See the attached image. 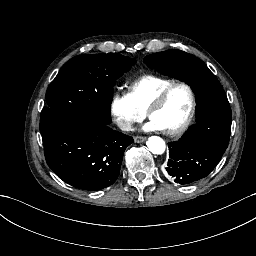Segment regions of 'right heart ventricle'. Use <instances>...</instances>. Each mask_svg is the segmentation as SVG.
<instances>
[{
    "instance_id": "1",
    "label": "right heart ventricle",
    "mask_w": 256,
    "mask_h": 256,
    "mask_svg": "<svg viewBox=\"0 0 256 256\" xmlns=\"http://www.w3.org/2000/svg\"><path fill=\"white\" fill-rule=\"evenodd\" d=\"M168 85H170L169 80L155 81L151 85L134 89L132 98L138 101L140 109L145 110Z\"/></svg>"
}]
</instances>
